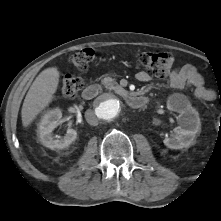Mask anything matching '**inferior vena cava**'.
I'll return each mask as SVG.
<instances>
[{"label":"inferior vena cava","instance_id":"obj_1","mask_svg":"<svg viewBox=\"0 0 221 221\" xmlns=\"http://www.w3.org/2000/svg\"><path fill=\"white\" fill-rule=\"evenodd\" d=\"M85 117L87 122L92 125V126H97L98 125V119L95 116L94 112L91 110H87L85 113Z\"/></svg>","mask_w":221,"mask_h":221}]
</instances>
